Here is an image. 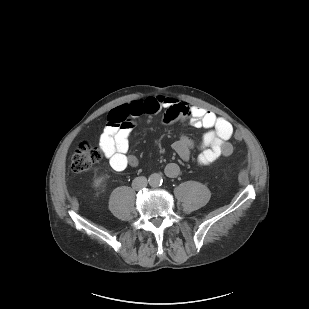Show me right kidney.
Wrapping results in <instances>:
<instances>
[{"label":"right kidney","mask_w":309,"mask_h":309,"mask_svg":"<svg viewBox=\"0 0 309 309\" xmlns=\"http://www.w3.org/2000/svg\"><path fill=\"white\" fill-rule=\"evenodd\" d=\"M104 179H105V178H104L103 176H102V177L96 178V179L94 180V182H93L94 186H95V187L101 186L102 183L104 182Z\"/></svg>","instance_id":"1"}]
</instances>
